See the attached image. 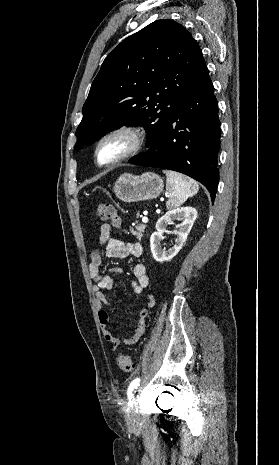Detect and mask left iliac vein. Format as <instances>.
Listing matches in <instances>:
<instances>
[{"label":"left iliac vein","instance_id":"4c4485c4","mask_svg":"<svg viewBox=\"0 0 279 465\" xmlns=\"http://www.w3.org/2000/svg\"><path fill=\"white\" fill-rule=\"evenodd\" d=\"M138 420L139 417L137 412L136 398L133 397L127 405L126 421L129 425L134 426L137 424Z\"/></svg>","mask_w":279,"mask_h":465}]
</instances>
